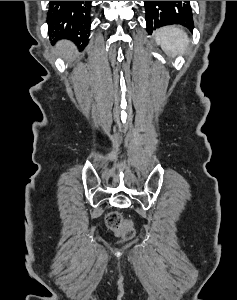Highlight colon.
<instances>
[{
	"instance_id": "1",
	"label": "colon",
	"mask_w": 237,
	"mask_h": 300,
	"mask_svg": "<svg viewBox=\"0 0 237 300\" xmlns=\"http://www.w3.org/2000/svg\"><path fill=\"white\" fill-rule=\"evenodd\" d=\"M107 226L118 236L125 240L134 236V228L131 220L123 218L118 212H111L106 219Z\"/></svg>"
}]
</instances>
